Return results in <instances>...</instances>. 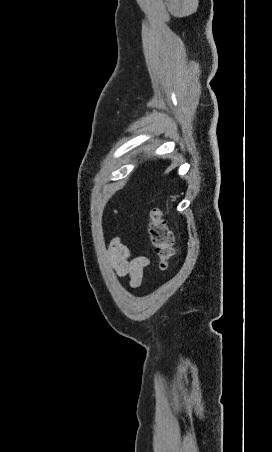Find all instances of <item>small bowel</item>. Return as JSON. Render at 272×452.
I'll list each match as a JSON object with an SVG mask.
<instances>
[{
    "label": "small bowel",
    "instance_id": "obj_1",
    "mask_svg": "<svg viewBox=\"0 0 272 452\" xmlns=\"http://www.w3.org/2000/svg\"><path fill=\"white\" fill-rule=\"evenodd\" d=\"M106 257L118 277H129V284L133 288L140 286L144 268L149 264L146 256L131 258L129 248L120 238L114 237L109 243Z\"/></svg>",
    "mask_w": 272,
    "mask_h": 452
}]
</instances>
